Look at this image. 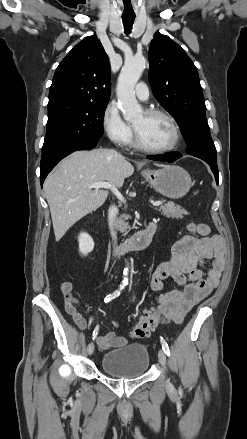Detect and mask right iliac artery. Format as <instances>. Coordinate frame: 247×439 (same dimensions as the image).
I'll return each mask as SVG.
<instances>
[{
    "instance_id": "obj_1",
    "label": "right iliac artery",
    "mask_w": 247,
    "mask_h": 439,
    "mask_svg": "<svg viewBox=\"0 0 247 439\" xmlns=\"http://www.w3.org/2000/svg\"><path fill=\"white\" fill-rule=\"evenodd\" d=\"M123 289H124V285H120L118 290H116L113 293H111V294L106 296V298L104 299V302L105 303L110 302L111 300H113L116 297H118ZM98 329H99V327L97 326L95 328V331L93 332V339L96 337ZM95 332H96V334H95Z\"/></svg>"
}]
</instances>
